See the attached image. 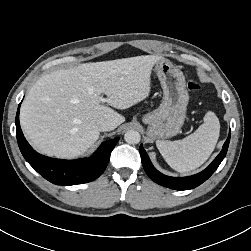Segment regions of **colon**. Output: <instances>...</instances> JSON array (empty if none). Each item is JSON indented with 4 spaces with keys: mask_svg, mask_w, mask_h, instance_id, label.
I'll list each match as a JSON object with an SVG mask.
<instances>
[{
    "mask_svg": "<svg viewBox=\"0 0 251 251\" xmlns=\"http://www.w3.org/2000/svg\"><path fill=\"white\" fill-rule=\"evenodd\" d=\"M187 87L192 93H197L201 89L200 84L194 80L189 81Z\"/></svg>",
    "mask_w": 251,
    "mask_h": 251,
    "instance_id": "5ec220e1",
    "label": "colon"
}]
</instances>
